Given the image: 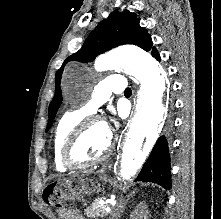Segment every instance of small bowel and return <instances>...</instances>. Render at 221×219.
Returning a JSON list of instances; mask_svg holds the SVG:
<instances>
[{
  "instance_id": "c3829d8e",
  "label": "small bowel",
  "mask_w": 221,
  "mask_h": 219,
  "mask_svg": "<svg viewBox=\"0 0 221 219\" xmlns=\"http://www.w3.org/2000/svg\"><path fill=\"white\" fill-rule=\"evenodd\" d=\"M62 219H84L78 210H68L61 212Z\"/></svg>"
}]
</instances>
